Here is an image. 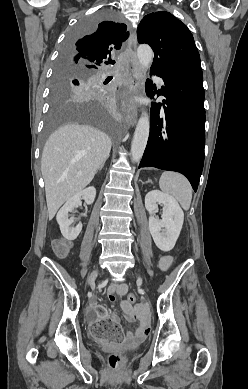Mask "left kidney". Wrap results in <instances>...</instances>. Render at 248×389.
Returning <instances> with one entry per match:
<instances>
[{
	"label": "left kidney",
	"mask_w": 248,
	"mask_h": 389,
	"mask_svg": "<svg viewBox=\"0 0 248 389\" xmlns=\"http://www.w3.org/2000/svg\"><path fill=\"white\" fill-rule=\"evenodd\" d=\"M158 204L163 206L162 219L154 216ZM145 208L150 213L149 230L156 246L165 252L172 250L180 235L184 213L172 196L153 190L145 196Z\"/></svg>",
	"instance_id": "obj_1"
}]
</instances>
